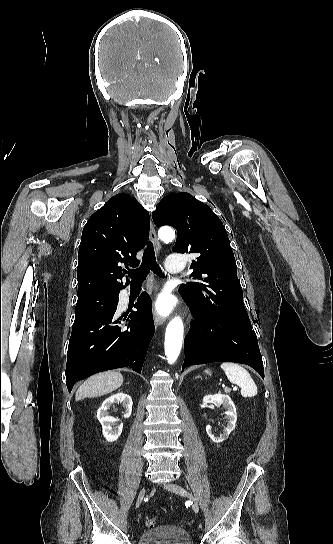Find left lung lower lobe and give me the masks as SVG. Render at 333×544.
I'll return each mask as SVG.
<instances>
[{
    "mask_svg": "<svg viewBox=\"0 0 333 544\" xmlns=\"http://www.w3.org/2000/svg\"><path fill=\"white\" fill-rule=\"evenodd\" d=\"M181 294V293H180ZM194 314V324L184 340L185 361L189 365L218 361L247 364L264 378L257 337L251 328L220 318L181 294Z\"/></svg>",
    "mask_w": 333,
    "mask_h": 544,
    "instance_id": "1",
    "label": "left lung lower lobe"
}]
</instances>
